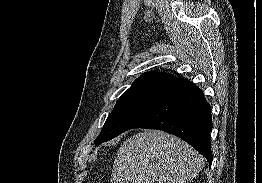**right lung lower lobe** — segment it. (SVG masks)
<instances>
[{
	"label": "right lung lower lobe",
	"instance_id": "obj_1",
	"mask_svg": "<svg viewBox=\"0 0 262 183\" xmlns=\"http://www.w3.org/2000/svg\"><path fill=\"white\" fill-rule=\"evenodd\" d=\"M133 128L158 129L174 134L212 164L210 105L202 90L188 80L178 78L161 88L123 132Z\"/></svg>",
	"mask_w": 262,
	"mask_h": 183
}]
</instances>
